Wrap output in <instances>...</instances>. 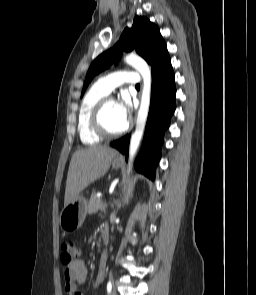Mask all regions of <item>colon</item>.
<instances>
[{"instance_id":"obj_1","label":"colon","mask_w":256,"mask_h":295,"mask_svg":"<svg viewBox=\"0 0 256 295\" xmlns=\"http://www.w3.org/2000/svg\"><path fill=\"white\" fill-rule=\"evenodd\" d=\"M61 250V263L65 266L72 264L80 255L79 247L73 240H64Z\"/></svg>"}]
</instances>
